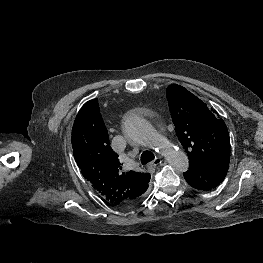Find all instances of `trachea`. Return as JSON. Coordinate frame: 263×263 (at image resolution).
<instances>
[{
    "mask_svg": "<svg viewBox=\"0 0 263 263\" xmlns=\"http://www.w3.org/2000/svg\"><path fill=\"white\" fill-rule=\"evenodd\" d=\"M155 158L154 154L150 151H144L141 154V163L147 164L148 162L152 161Z\"/></svg>",
    "mask_w": 263,
    "mask_h": 263,
    "instance_id": "3493384b",
    "label": "trachea"
}]
</instances>
